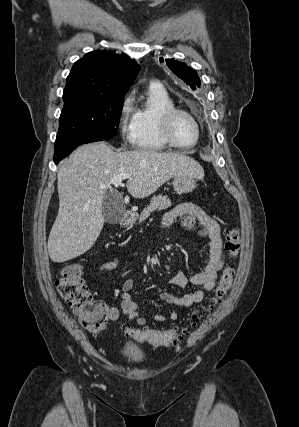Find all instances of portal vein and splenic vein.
Wrapping results in <instances>:
<instances>
[{
  "instance_id": "1",
  "label": "portal vein and splenic vein",
  "mask_w": 299,
  "mask_h": 427,
  "mask_svg": "<svg viewBox=\"0 0 299 427\" xmlns=\"http://www.w3.org/2000/svg\"><path fill=\"white\" fill-rule=\"evenodd\" d=\"M127 178H130V174H127V173L119 174L118 176L114 177L111 180V184H113L115 187L122 186L123 185L122 181ZM101 187H105V185H102Z\"/></svg>"
}]
</instances>
